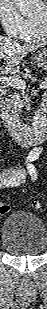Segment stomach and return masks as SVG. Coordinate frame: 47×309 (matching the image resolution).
<instances>
[{
  "instance_id": "0dacf381",
  "label": "stomach",
  "mask_w": 47,
  "mask_h": 309,
  "mask_svg": "<svg viewBox=\"0 0 47 309\" xmlns=\"http://www.w3.org/2000/svg\"><path fill=\"white\" fill-rule=\"evenodd\" d=\"M33 59L38 67L47 70V47L38 51Z\"/></svg>"
}]
</instances>
